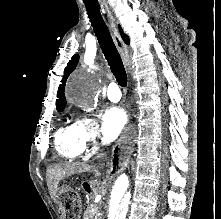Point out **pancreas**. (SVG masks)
I'll list each match as a JSON object with an SVG mask.
<instances>
[{
  "label": "pancreas",
  "mask_w": 221,
  "mask_h": 219,
  "mask_svg": "<svg viewBox=\"0 0 221 219\" xmlns=\"http://www.w3.org/2000/svg\"><path fill=\"white\" fill-rule=\"evenodd\" d=\"M97 213V209L95 206H90L86 209L83 219H96L95 214Z\"/></svg>",
  "instance_id": "cf45deb5"
}]
</instances>
